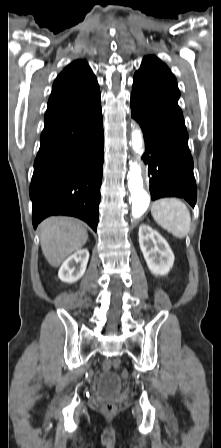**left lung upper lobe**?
Masks as SVG:
<instances>
[{
	"label": "left lung upper lobe",
	"instance_id": "obj_1",
	"mask_svg": "<svg viewBox=\"0 0 221 448\" xmlns=\"http://www.w3.org/2000/svg\"><path fill=\"white\" fill-rule=\"evenodd\" d=\"M133 88L181 112L176 78L157 57L147 56L143 59L140 69L134 74Z\"/></svg>",
	"mask_w": 221,
	"mask_h": 448
}]
</instances>
